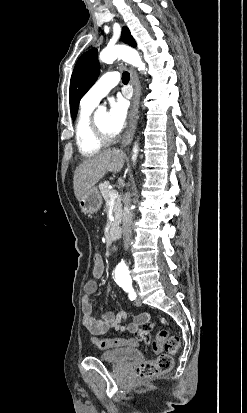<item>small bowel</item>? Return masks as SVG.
<instances>
[{
    "label": "small bowel",
    "instance_id": "obj_1",
    "mask_svg": "<svg viewBox=\"0 0 247 413\" xmlns=\"http://www.w3.org/2000/svg\"><path fill=\"white\" fill-rule=\"evenodd\" d=\"M96 291L97 282L85 283L82 296L83 326L93 335H101L108 330H114L121 333H133L139 340L137 343L138 348L147 349L149 343L152 341L150 331L152 330L153 325L148 322L150 314H138L127 325L123 324L127 318V314L124 311H109L97 315L95 313V303L91 300L92 295H94ZM159 316L161 317V322L159 324H163L165 322V317L163 315Z\"/></svg>",
    "mask_w": 247,
    "mask_h": 413
}]
</instances>
